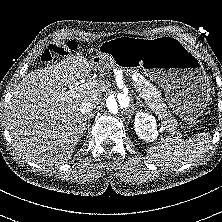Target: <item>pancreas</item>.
<instances>
[{
	"label": "pancreas",
	"mask_w": 222,
	"mask_h": 222,
	"mask_svg": "<svg viewBox=\"0 0 222 222\" xmlns=\"http://www.w3.org/2000/svg\"><path fill=\"white\" fill-rule=\"evenodd\" d=\"M135 76L137 77V81L134 86L140 92L141 97L145 99L149 108L155 112L158 119L167 125L171 132L175 133L177 120L168 111L167 106L161 97V92L143 75L135 73Z\"/></svg>",
	"instance_id": "1"
}]
</instances>
